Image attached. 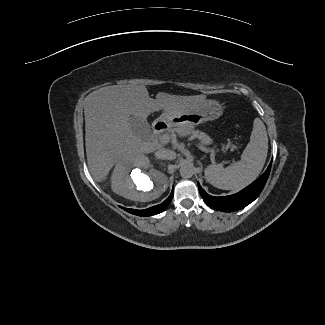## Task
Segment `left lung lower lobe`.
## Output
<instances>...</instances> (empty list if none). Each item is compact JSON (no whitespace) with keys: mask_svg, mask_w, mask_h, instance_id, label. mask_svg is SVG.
<instances>
[{"mask_svg":"<svg viewBox=\"0 0 325 325\" xmlns=\"http://www.w3.org/2000/svg\"><path fill=\"white\" fill-rule=\"evenodd\" d=\"M271 164L272 161L270 162L265 173H263L252 184H250L249 186H247L236 194L222 197H214L207 194L198 183L200 195L202 196L206 204L215 210H220L222 212H233L240 210L249 205L251 202H253L261 193L269 177Z\"/></svg>","mask_w":325,"mask_h":325,"instance_id":"left-lung-lower-lobe-1","label":"left lung lower lobe"}]
</instances>
